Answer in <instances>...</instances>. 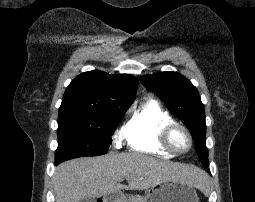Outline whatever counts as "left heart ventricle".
Listing matches in <instances>:
<instances>
[{"instance_id": "1", "label": "left heart ventricle", "mask_w": 255, "mask_h": 202, "mask_svg": "<svg viewBox=\"0 0 255 202\" xmlns=\"http://www.w3.org/2000/svg\"><path fill=\"white\" fill-rule=\"evenodd\" d=\"M171 140L173 146L180 151L186 150L189 146L188 138L181 130H176L173 133Z\"/></svg>"}]
</instances>
